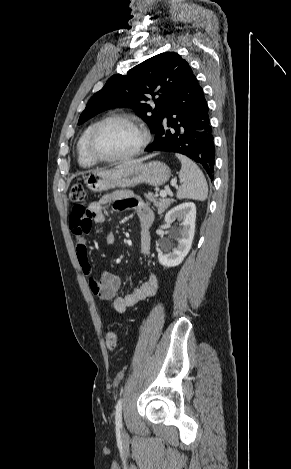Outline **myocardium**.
Returning <instances> with one entry per match:
<instances>
[{
  "instance_id": "obj_1",
  "label": "myocardium",
  "mask_w": 291,
  "mask_h": 469,
  "mask_svg": "<svg viewBox=\"0 0 291 469\" xmlns=\"http://www.w3.org/2000/svg\"><path fill=\"white\" fill-rule=\"evenodd\" d=\"M114 121H123L131 124L135 128L139 130L141 133V141L138 144V146L131 152L118 156V157H104L100 155L96 148H95V140L96 137L99 133V131L108 123L114 122ZM150 142V133L146 126L139 121L137 118L134 116L128 115V114H115L108 116L101 121L97 122V124L92 128L88 139H87V151L88 154L96 161V162H101V163H117V162H122L129 160L131 158H134L135 156L139 155L149 144Z\"/></svg>"
}]
</instances>
